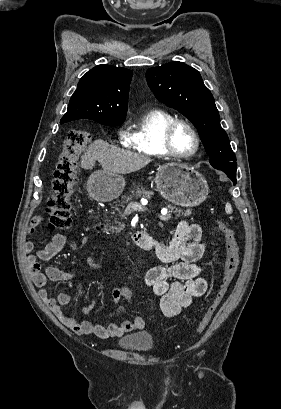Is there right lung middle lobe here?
<instances>
[{
  "label": "right lung middle lobe",
  "mask_w": 281,
  "mask_h": 409,
  "mask_svg": "<svg viewBox=\"0 0 281 409\" xmlns=\"http://www.w3.org/2000/svg\"><path fill=\"white\" fill-rule=\"evenodd\" d=\"M98 122L106 126H118L122 124L124 120H103Z\"/></svg>",
  "instance_id": "dd1d6c3e"
}]
</instances>
